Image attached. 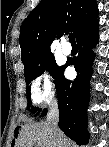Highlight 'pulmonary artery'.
Returning a JSON list of instances; mask_svg holds the SVG:
<instances>
[{"label":"pulmonary artery","mask_w":109,"mask_h":147,"mask_svg":"<svg viewBox=\"0 0 109 147\" xmlns=\"http://www.w3.org/2000/svg\"><path fill=\"white\" fill-rule=\"evenodd\" d=\"M71 46L68 42H64L62 45V52L64 55H70L71 54Z\"/></svg>","instance_id":"obj_1"}]
</instances>
